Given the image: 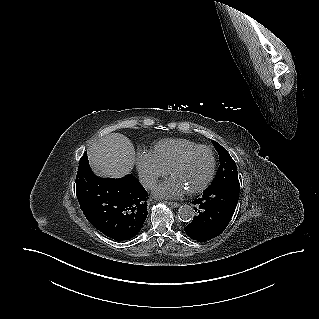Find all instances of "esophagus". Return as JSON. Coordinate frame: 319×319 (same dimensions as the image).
Returning a JSON list of instances; mask_svg holds the SVG:
<instances>
[{"label":"esophagus","mask_w":319,"mask_h":319,"mask_svg":"<svg viewBox=\"0 0 319 319\" xmlns=\"http://www.w3.org/2000/svg\"><path fill=\"white\" fill-rule=\"evenodd\" d=\"M165 203H167L169 206H171L173 208H177L179 206V203H177V202L166 201Z\"/></svg>","instance_id":"34e87169"}]
</instances>
